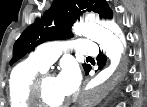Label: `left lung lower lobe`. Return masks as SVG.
<instances>
[{"label": "left lung lower lobe", "mask_w": 147, "mask_h": 107, "mask_svg": "<svg viewBox=\"0 0 147 107\" xmlns=\"http://www.w3.org/2000/svg\"><path fill=\"white\" fill-rule=\"evenodd\" d=\"M97 60H98L99 69L103 68L106 63V57L103 55V53H100L98 55ZM90 70H91V66L88 67V69L85 71L86 75L89 73Z\"/></svg>", "instance_id": "obj_1"}]
</instances>
